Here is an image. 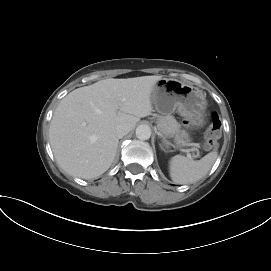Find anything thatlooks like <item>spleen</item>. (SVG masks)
<instances>
[{"label": "spleen", "instance_id": "1", "mask_svg": "<svg viewBox=\"0 0 271 271\" xmlns=\"http://www.w3.org/2000/svg\"><path fill=\"white\" fill-rule=\"evenodd\" d=\"M217 157L216 150L208 153L198 161L176 155L169 162L170 177L176 184L197 182L210 171Z\"/></svg>", "mask_w": 271, "mask_h": 271}]
</instances>
